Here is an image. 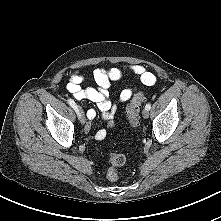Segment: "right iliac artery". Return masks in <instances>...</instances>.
Wrapping results in <instances>:
<instances>
[{
  "label": "right iliac artery",
  "instance_id": "82829eb1",
  "mask_svg": "<svg viewBox=\"0 0 221 221\" xmlns=\"http://www.w3.org/2000/svg\"><path fill=\"white\" fill-rule=\"evenodd\" d=\"M68 103L78 114V107H77L76 103L74 102V100L70 98V99H68Z\"/></svg>",
  "mask_w": 221,
  "mask_h": 221
}]
</instances>
